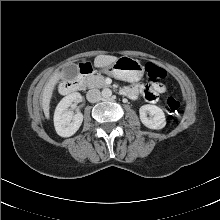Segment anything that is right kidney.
Masks as SVG:
<instances>
[{
	"mask_svg": "<svg viewBox=\"0 0 220 220\" xmlns=\"http://www.w3.org/2000/svg\"><path fill=\"white\" fill-rule=\"evenodd\" d=\"M80 93H72L64 97L57 105L54 113V126L61 137H70L77 132L83 122L81 113L73 114L69 107L73 102L81 101Z\"/></svg>",
	"mask_w": 220,
	"mask_h": 220,
	"instance_id": "obj_1",
	"label": "right kidney"
}]
</instances>
